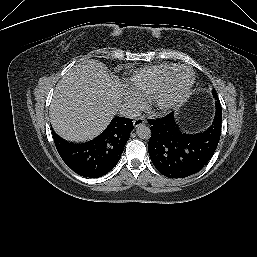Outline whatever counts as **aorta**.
<instances>
[{"label": "aorta", "mask_w": 257, "mask_h": 257, "mask_svg": "<svg viewBox=\"0 0 257 257\" xmlns=\"http://www.w3.org/2000/svg\"><path fill=\"white\" fill-rule=\"evenodd\" d=\"M136 134L141 139H149L151 137V130L146 125H139L136 129Z\"/></svg>", "instance_id": "1"}]
</instances>
